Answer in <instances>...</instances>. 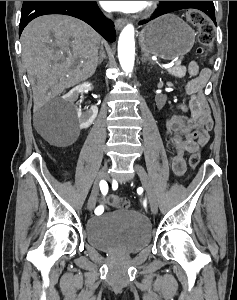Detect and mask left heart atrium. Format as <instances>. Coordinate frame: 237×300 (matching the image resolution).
Returning <instances> with one entry per match:
<instances>
[{
  "mask_svg": "<svg viewBox=\"0 0 237 300\" xmlns=\"http://www.w3.org/2000/svg\"><path fill=\"white\" fill-rule=\"evenodd\" d=\"M103 8L109 12H136L140 10L145 1H100Z\"/></svg>",
  "mask_w": 237,
  "mask_h": 300,
  "instance_id": "left-heart-atrium-1",
  "label": "left heart atrium"
}]
</instances>
